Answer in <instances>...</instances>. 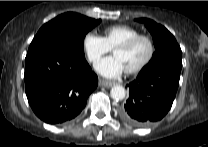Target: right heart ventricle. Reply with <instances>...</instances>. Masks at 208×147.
<instances>
[{
    "mask_svg": "<svg viewBox=\"0 0 208 147\" xmlns=\"http://www.w3.org/2000/svg\"><path fill=\"white\" fill-rule=\"evenodd\" d=\"M140 34V32L128 25L110 26L104 30V36L110 49H114L118 44Z\"/></svg>",
    "mask_w": 208,
    "mask_h": 147,
    "instance_id": "1",
    "label": "right heart ventricle"
}]
</instances>
